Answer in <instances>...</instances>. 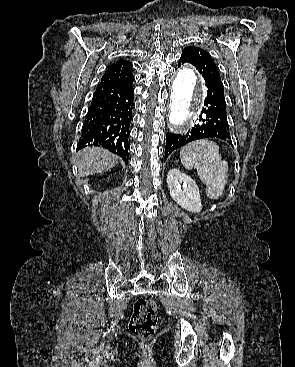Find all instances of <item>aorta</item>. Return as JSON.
Returning <instances> with one entry per match:
<instances>
[{
    "label": "aorta",
    "instance_id": "aorta-1",
    "mask_svg": "<svg viewBox=\"0 0 295 367\" xmlns=\"http://www.w3.org/2000/svg\"><path fill=\"white\" fill-rule=\"evenodd\" d=\"M199 79L194 69L189 66L182 67L172 84L169 123L181 128L188 124L193 116L197 104Z\"/></svg>",
    "mask_w": 295,
    "mask_h": 367
}]
</instances>
